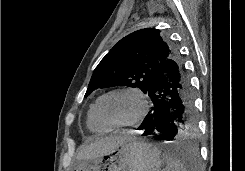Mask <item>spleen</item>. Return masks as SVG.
Wrapping results in <instances>:
<instances>
[{"label": "spleen", "instance_id": "1", "mask_svg": "<svg viewBox=\"0 0 245 171\" xmlns=\"http://www.w3.org/2000/svg\"><path fill=\"white\" fill-rule=\"evenodd\" d=\"M163 159L166 163L163 171H187L179 159L168 154L163 155Z\"/></svg>", "mask_w": 245, "mask_h": 171}]
</instances>
